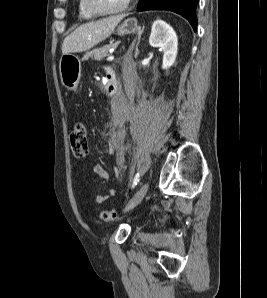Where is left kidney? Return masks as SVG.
<instances>
[{
  "label": "left kidney",
  "mask_w": 267,
  "mask_h": 298,
  "mask_svg": "<svg viewBox=\"0 0 267 298\" xmlns=\"http://www.w3.org/2000/svg\"><path fill=\"white\" fill-rule=\"evenodd\" d=\"M152 47H159L163 50L162 69H169L175 63L178 51V38L174 29L164 22L157 20L154 22L149 37Z\"/></svg>",
  "instance_id": "5707ae66"
}]
</instances>
